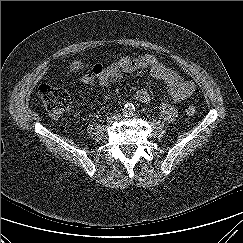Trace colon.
<instances>
[{
  "label": "colon",
  "instance_id": "colon-1",
  "mask_svg": "<svg viewBox=\"0 0 243 243\" xmlns=\"http://www.w3.org/2000/svg\"><path fill=\"white\" fill-rule=\"evenodd\" d=\"M82 67V63L78 61L73 62L69 66L72 71H79ZM39 96L47 112L54 119L62 118L70 108V96L63 89L43 84L39 87ZM196 111L197 108L192 103L185 107L187 115H194Z\"/></svg>",
  "mask_w": 243,
  "mask_h": 243
}]
</instances>
